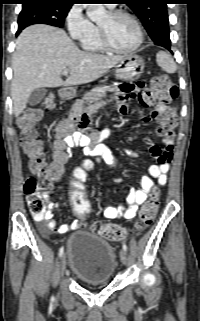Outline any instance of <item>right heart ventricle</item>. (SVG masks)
<instances>
[{
    "mask_svg": "<svg viewBox=\"0 0 200 321\" xmlns=\"http://www.w3.org/2000/svg\"><path fill=\"white\" fill-rule=\"evenodd\" d=\"M80 43L82 48L89 52H103L105 50L100 42L98 27L96 26L90 34L80 40Z\"/></svg>",
    "mask_w": 200,
    "mask_h": 321,
    "instance_id": "obj_1",
    "label": "right heart ventricle"
}]
</instances>
